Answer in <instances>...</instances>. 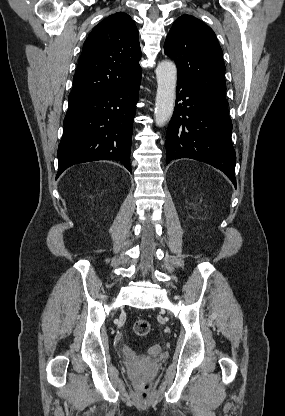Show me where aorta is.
Returning <instances> with one entry per match:
<instances>
[{
  "instance_id": "obj_1",
  "label": "aorta",
  "mask_w": 285,
  "mask_h": 416,
  "mask_svg": "<svg viewBox=\"0 0 285 416\" xmlns=\"http://www.w3.org/2000/svg\"><path fill=\"white\" fill-rule=\"evenodd\" d=\"M157 94L155 122L163 126L171 118L176 98L177 68L171 61H162L156 68Z\"/></svg>"
}]
</instances>
